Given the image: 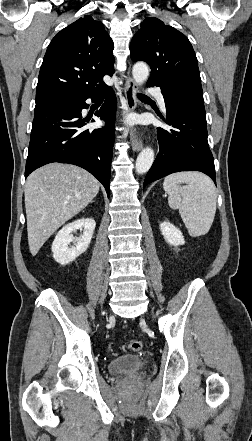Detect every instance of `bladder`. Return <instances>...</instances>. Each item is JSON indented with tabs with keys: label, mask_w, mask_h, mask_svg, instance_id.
Masks as SVG:
<instances>
[{
	"label": "bladder",
	"mask_w": 252,
	"mask_h": 441,
	"mask_svg": "<svg viewBox=\"0 0 252 441\" xmlns=\"http://www.w3.org/2000/svg\"><path fill=\"white\" fill-rule=\"evenodd\" d=\"M145 361L138 355L119 356L107 364L108 372L112 375H122L141 370Z\"/></svg>",
	"instance_id": "bladder-1"
}]
</instances>
